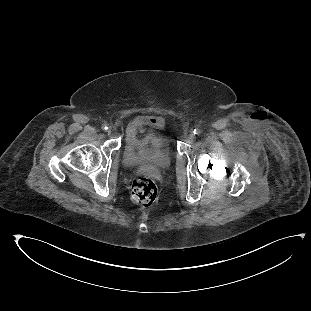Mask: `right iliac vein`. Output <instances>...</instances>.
<instances>
[{
  "mask_svg": "<svg viewBox=\"0 0 311 311\" xmlns=\"http://www.w3.org/2000/svg\"><path fill=\"white\" fill-rule=\"evenodd\" d=\"M111 133H112V130L109 128V129L107 130V134H108V135H111Z\"/></svg>",
  "mask_w": 311,
  "mask_h": 311,
  "instance_id": "1",
  "label": "right iliac vein"
}]
</instances>
